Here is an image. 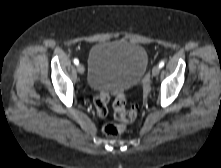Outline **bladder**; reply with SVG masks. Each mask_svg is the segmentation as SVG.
Returning a JSON list of instances; mask_svg holds the SVG:
<instances>
[{"mask_svg":"<svg viewBox=\"0 0 221 168\" xmlns=\"http://www.w3.org/2000/svg\"><path fill=\"white\" fill-rule=\"evenodd\" d=\"M148 66L144 47L128 41H106L89 52L88 84L98 91H118L137 85Z\"/></svg>","mask_w":221,"mask_h":168,"instance_id":"obj_1","label":"bladder"}]
</instances>
